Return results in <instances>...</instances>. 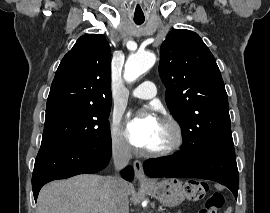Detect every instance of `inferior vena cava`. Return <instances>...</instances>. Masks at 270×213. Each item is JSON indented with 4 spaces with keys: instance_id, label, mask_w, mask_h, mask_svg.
<instances>
[{
    "instance_id": "obj_1",
    "label": "inferior vena cava",
    "mask_w": 270,
    "mask_h": 213,
    "mask_svg": "<svg viewBox=\"0 0 270 213\" xmlns=\"http://www.w3.org/2000/svg\"><path fill=\"white\" fill-rule=\"evenodd\" d=\"M131 157L129 144L123 141L114 144L112 158L116 174L109 177L114 204L113 213H129L128 196L124 189L125 181L119 176V171L128 164Z\"/></svg>"
}]
</instances>
